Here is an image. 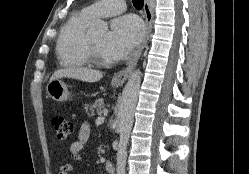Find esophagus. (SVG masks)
I'll list each match as a JSON object with an SVG mask.
<instances>
[{"instance_id": "esophagus-1", "label": "esophagus", "mask_w": 249, "mask_h": 174, "mask_svg": "<svg viewBox=\"0 0 249 174\" xmlns=\"http://www.w3.org/2000/svg\"><path fill=\"white\" fill-rule=\"evenodd\" d=\"M144 18L146 24V35L144 38L143 43L131 54L130 58L128 59L127 66L114 74L113 82L117 85L123 84L129 75L134 70L138 59L140 58L143 49L145 48L152 31V22H153V11L150 7L149 0H144Z\"/></svg>"}]
</instances>
